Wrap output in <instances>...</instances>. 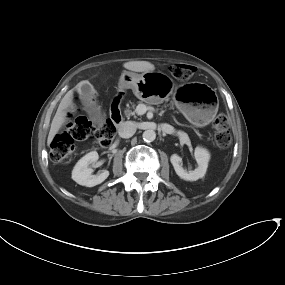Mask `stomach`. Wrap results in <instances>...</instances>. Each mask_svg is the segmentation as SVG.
<instances>
[{"label": "stomach", "instance_id": "stomach-1", "mask_svg": "<svg viewBox=\"0 0 285 285\" xmlns=\"http://www.w3.org/2000/svg\"><path fill=\"white\" fill-rule=\"evenodd\" d=\"M173 90V100L186 119L197 127L209 124L217 113L218 107L214 91L204 83L191 82L174 88L170 78L160 71L135 74L124 71L119 80L120 89H132L135 96L146 103L156 101L155 92L162 86Z\"/></svg>", "mask_w": 285, "mask_h": 285}]
</instances>
